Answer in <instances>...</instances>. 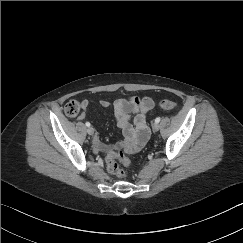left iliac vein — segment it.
Here are the masks:
<instances>
[{
    "instance_id": "left-iliac-vein-1",
    "label": "left iliac vein",
    "mask_w": 243,
    "mask_h": 243,
    "mask_svg": "<svg viewBox=\"0 0 243 243\" xmlns=\"http://www.w3.org/2000/svg\"><path fill=\"white\" fill-rule=\"evenodd\" d=\"M152 128H153L154 131H158L159 130V124L154 123Z\"/></svg>"
}]
</instances>
